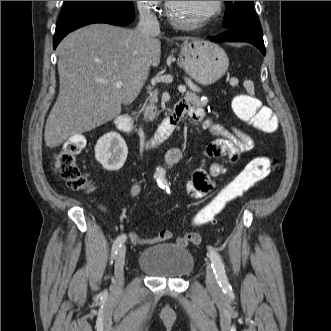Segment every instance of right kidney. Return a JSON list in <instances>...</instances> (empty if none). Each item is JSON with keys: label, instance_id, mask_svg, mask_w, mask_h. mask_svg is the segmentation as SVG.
<instances>
[{"label": "right kidney", "instance_id": "1", "mask_svg": "<svg viewBox=\"0 0 331 331\" xmlns=\"http://www.w3.org/2000/svg\"><path fill=\"white\" fill-rule=\"evenodd\" d=\"M128 148L120 134L109 132L95 146V158L106 170H119L125 163Z\"/></svg>", "mask_w": 331, "mask_h": 331}]
</instances>
